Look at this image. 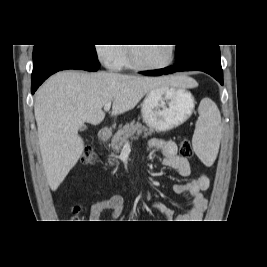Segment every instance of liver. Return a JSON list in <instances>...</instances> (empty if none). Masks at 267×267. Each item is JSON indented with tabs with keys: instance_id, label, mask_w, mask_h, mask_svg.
<instances>
[{
	"instance_id": "liver-1",
	"label": "liver",
	"mask_w": 267,
	"mask_h": 267,
	"mask_svg": "<svg viewBox=\"0 0 267 267\" xmlns=\"http://www.w3.org/2000/svg\"><path fill=\"white\" fill-rule=\"evenodd\" d=\"M166 86L197 87L186 76L144 77L112 72L62 71L36 92L34 113L47 182L57 190L84 150L78 130L85 122L100 124L102 108L113 103L111 115L133 109L152 89Z\"/></svg>"
}]
</instances>
